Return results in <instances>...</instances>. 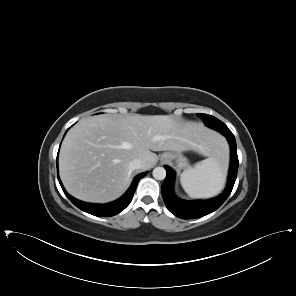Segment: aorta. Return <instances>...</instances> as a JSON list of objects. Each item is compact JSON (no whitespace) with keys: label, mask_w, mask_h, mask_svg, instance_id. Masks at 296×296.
Returning <instances> with one entry per match:
<instances>
[{"label":"aorta","mask_w":296,"mask_h":296,"mask_svg":"<svg viewBox=\"0 0 296 296\" xmlns=\"http://www.w3.org/2000/svg\"><path fill=\"white\" fill-rule=\"evenodd\" d=\"M153 177L156 180H163V179H165V177H166V170H165V168H163V167H156L153 170Z\"/></svg>","instance_id":"aorta-1"}]
</instances>
